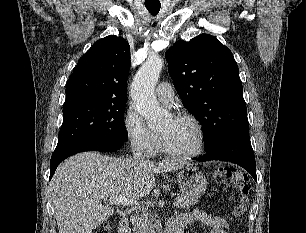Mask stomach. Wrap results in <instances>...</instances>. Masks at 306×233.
<instances>
[{"label": "stomach", "instance_id": "obj_1", "mask_svg": "<svg viewBox=\"0 0 306 233\" xmlns=\"http://www.w3.org/2000/svg\"><path fill=\"white\" fill-rule=\"evenodd\" d=\"M177 181L181 192L193 198L202 196L207 188L204 174L192 166H186L177 175Z\"/></svg>", "mask_w": 306, "mask_h": 233}]
</instances>
